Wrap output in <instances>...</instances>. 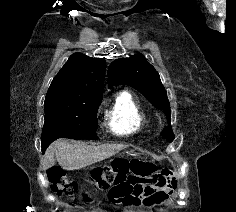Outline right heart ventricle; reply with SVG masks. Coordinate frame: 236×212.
<instances>
[{"label": "right heart ventricle", "mask_w": 236, "mask_h": 212, "mask_svg": "<svg viewBox=\"0 0 236 212\" xmlns=\"http://www.w3.org/2000/svg\"><path fill=\"white\" fill-rule=\"evenodd\" d=\"M145 111L129 91H121L115 98L109 113L108 125L117 135H129L138 132L145 124Z\"/></svg>", "instance_id": "obj_1"}]
</instances>
